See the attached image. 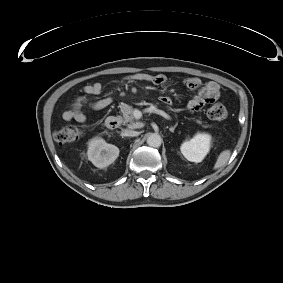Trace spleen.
<instances>
[{"label":"spleen","mask_w":283,"mask_h":283,"mask_svg":"<svg viewBox=\"0 0 283 283\" xmlns=\"http://www.w3.org/2000/svg\"><path fill=\"white\" fill-rule=\"evenodd\" d=\"M230 155H231L230 150L222 151L217 158V161L214 165V169H219L222 166H224L227 163V161L229 160Z\"/></svg>","instance_id":"obj_1"}]
</instances>
